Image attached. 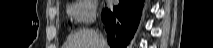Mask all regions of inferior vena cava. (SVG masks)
I'll return each mask as SVG.
<instances>
[{
	"label": "inferior vena cava",
	"instance_id": "1",
	"mask_svg": "<svg viewBox=\"0 0 213 48\" xmlns=\"http://www.w3.org/2000/svg\"><path fill=\"white\" fill-rule=\"evenodd\" d=\"M98 40H99L101 47H104V45L106 44V41L101 33L98 34Z\"/></svg>",
	"mask_w": 213,
	"mask_h": 48
}]
</instances>
